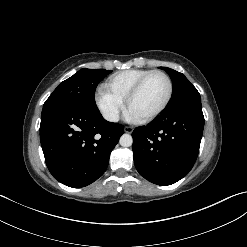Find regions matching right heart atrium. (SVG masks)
<instances>
[{"label":"right heart atrium","instance_id":"obj_1","mask_svg":"<svg viewBox=\"0 0 247 247\" xmlns=\"http://www.w3.org/2000/svg\"><path fill=\"white\" fill-rule=\"evenodd\" d=\"M95 101L106 120L110 122L119 120L124 110V102L122 100L113 95L105 87H101L96 93Z\"/></svg>","mask_w":247,"mask_h":247}]
</instances>
